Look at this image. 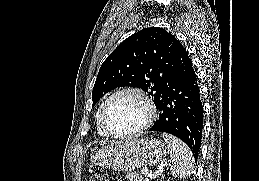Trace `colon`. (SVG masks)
<instances>
[{
	"label": "colon",
	"mask_w": 259,
	"mask_h": 181,
	"mask_svg": "<svg viewBox=\"0 0 259 181\" xmlns=\"http://www.w3.org/2000/svg\"><path fill=\"white\" fill-rule=\"evenodd\" d=\"M89 181H107V179L100 173H94L91 175Z\"/></svg>",
	"instance_id": "1"
}]
</instances>
